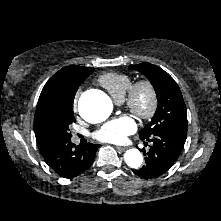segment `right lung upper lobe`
<instances>
[{"label":"right lung upper lobe","mask_w":221,"mask_h":221,"mask_svg":"<svg viewBox=\"0 0 221 221\" xmlns=\"http://www.w3.org/2000/svg\"><path fill=\"white\" fill-rule=\"evenodd\" d=\"M91 69L92 68L89 67L71 65L59 70L45 84L40 94L37 106L68 94H76L78 87L82 83V75L88 74ZM34 131L39 150L46 148L50 143H52L43 138L35 127Z\"/></svg>","instance_id":"obj_1"}]
</instances>
